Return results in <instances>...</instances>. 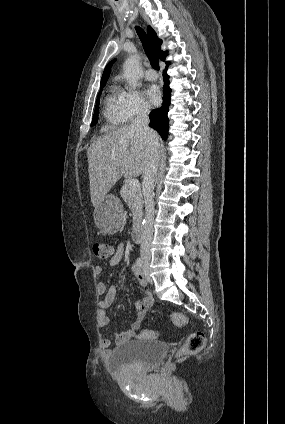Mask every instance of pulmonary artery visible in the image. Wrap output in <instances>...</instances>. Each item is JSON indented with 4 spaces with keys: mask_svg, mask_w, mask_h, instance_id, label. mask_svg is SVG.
I'll list each match as a JSON object with an SVG mask.
<instances>
[{
    "mask_svg": "<svg viewBox=\"0 0 285 424\" xmlns=\"http://www.w3.org/2000/svg\"><path fill=\"white\" fill-rule=\"evenodd\" d=\"M144 76L149 81H155L157 79V73L153 69H147Z\"/></svg>",
    "mask_w": 285,
    "mask_h": 424,
    "instance_id": "pulmonary-artery-1",
    "label": "pulmonary artery"
}]
</instances>
